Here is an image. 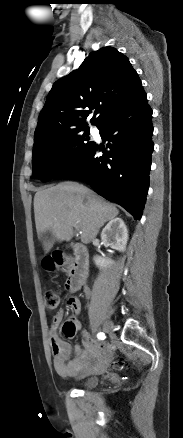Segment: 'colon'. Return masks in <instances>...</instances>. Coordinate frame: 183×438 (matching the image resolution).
<instances>
[{"instance_id":"5ec220e1","label":"colon","mask_w":183,"mask_h":438,"mask_svg":"<svg viewBox=\"0 0 183 438\" xmlns=\"http://www.w3.org/2000/svg\"><path fill=\"white\" fill-rule=\"evenodd\" d=\"M67 261V257L63 253H55L50 257H47L43 266L48 271H55L56 269L62 267ZM60 302L58 294L52 290H47L44 294V305L48 311L55 310ZM62 333L65 337L71 338L76 333L75 325L72 322H65L62 327ZM123 360H118L114 363V366L120 368L123 366Z\"/></svg>"}]
</instances>
